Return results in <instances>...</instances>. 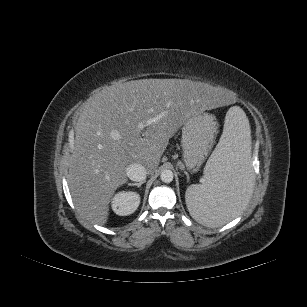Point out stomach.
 <instances>
[{
	"label": "stomach",
	"instance_id": "obj_1",
	"mask_svg": "<svg viewBox=\"0 0 307 307\" xmlns=\"http://www.w3.org/2000/svg\"><path fill=\"white\" fill-rule=\"evenodd\" d=\"M216 132L217 121L209 113L194 114L184 122L181 147L187 170L193 173L199 170L210 152Z\"/></svg>",
	"mask_w": 307,
	"mask_h": 307
}]
</instances>
